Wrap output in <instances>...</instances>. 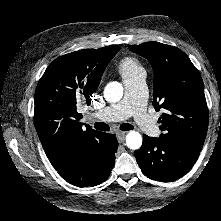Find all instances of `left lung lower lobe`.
<instances>
[{"label": "left lung lower lobe", "mask_w": 221, "mask_h": 221, "mask_svg": "<svg viewBox=\"0 0 221 221\" xmlns=\"http://www.w3.org/2000/svg\"><path fill=\"white\" fill-rule=\"evenodd\" d=\"M200 151L169 137L144 135L141 148L134 154L144 175L156 181L170 182L192 168Z\"/></svg>", "instance_id": "1"}]
</instances>
